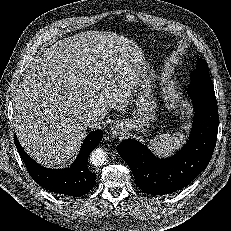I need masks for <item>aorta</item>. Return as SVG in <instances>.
Masks as SVG:
<instances>
[{
    "label": "aorta",
    "instance_id": "762f6f07",
    "mask_svg": "<svg viewBox=\"0 0 231 231\" xmlns=\"http://www.w3.org/2000/svg\"><path fill=\"white\" fill-rule=\"evenodd\" d=\"M108 154L104 149L98 148L94 150L90 155V162L94 166H102L106 163Z\"/></svg>",
    "mask_w": 231,
    "mask_h": 231
}]
</instances>
